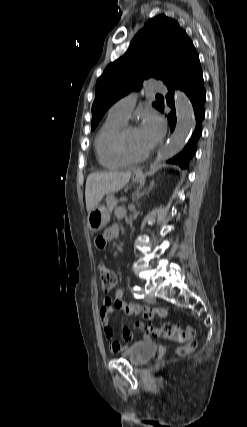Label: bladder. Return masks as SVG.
Segmentation results:
<instances>
[{"instance_id": "obj_1", "label": "bladder", "mask_w": 247, "mask_h": 427, "mask_svg": "<svg viewBox=\"0 0 247 427\" xmlns=\"http://www.w3.org/2000/svg\"><path fill=\"white\" fill-rule=\"evenodd\" d=\"M157 352V345L152 342H137L121 353V356L127 359L135 366H141L150 361Z\"/></svg>"}]
</instances>
